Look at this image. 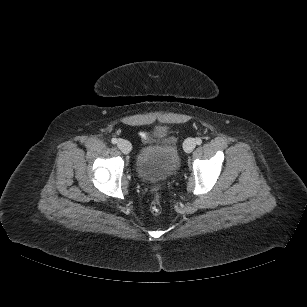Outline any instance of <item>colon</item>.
Instances as JSON below:
<instances>
[{
    "mask_svg": "<svg viewBox=\"0 0 307 307\" xmlns=\"http://www.w3.org/2000/svg\"><path fill=\"white\" fill-rule=\"evenodd\" d=\"M151 211L153 214L157 215L161 212V204L159 198L156 197L151 204Z\"/></svg>",
    "mask_w": 307,
    "mask_h": 307,
    "instance_id": "obj_1",
    "label": "colon"
}]
</instances>
